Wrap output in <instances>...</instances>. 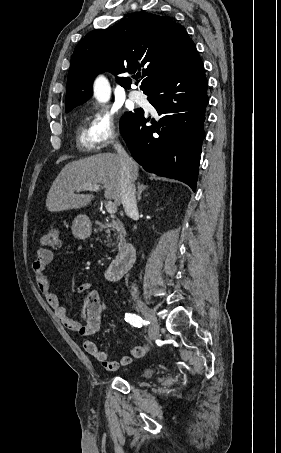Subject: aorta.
Wrapping results in <instances>:
<instances>
[{
  "mask_svg": "<svg viewBox=\"0 0 281 453\" xmlns=\"http://www.w3.org/2000/svg\"><path fill=\"white\" fill-rule=\"evenodd\" d=\"M94 95L101 103H106L110 99L111 87L104 76H99L94 82Z\"/></svg>",
  "mask_w": 281,
  "mask_h": 453,
  "instance_id": "obj_1",
  "label": "aorta"
}]
</instances>
